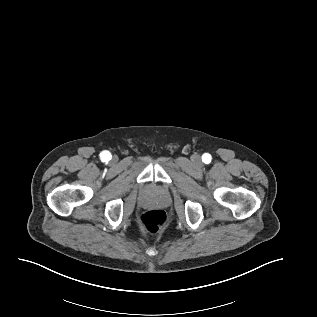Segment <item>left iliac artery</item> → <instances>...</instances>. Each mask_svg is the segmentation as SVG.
<instances>
[{"label":"left iliac artery","mask_w":317,"mask_h":317,"mask_svg":"<svg viewBox=\"0 0 317 317\" xmlns=\"http://www.w3.org/2000/svg\"><path fill=\"white\" fill-rule=\"evenodd\" d=\"M211 159H212V157H211V155L208 154V153H205V154L202 156V160H203V162L206 163V164L210 163V162H211Z\"/></svg>","instance_id":"44dca946"}]
</instances>
